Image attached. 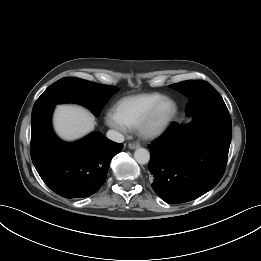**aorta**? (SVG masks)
Masks as SVG:
<instances>
[{"mask_svg":"<svg viewBox=\"0 0 261 261\" xmlns=\"http://www.w3.org/2000/svg\"><path fill=\"white\" fill-rule=\"evenodd\" d=\"M134 159L136 160L137 163L141 165H145L150 160V153L145 148H138L134 152Z\"/></svg>","mask_w":261,"mask_h":261,"instance_id":"aorta-1","label":"aorta"}]
</instances>
